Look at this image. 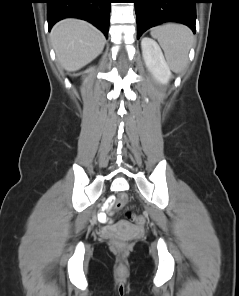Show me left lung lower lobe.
<instances>
[{"label": "left lung lower lobe", "instance_id": "1", "mask_svg": "<svg viewBox=\"0 0 239 296\" xmlns=\"http://www.w3.org/2000/svg\"><path fill=\"white\" fill-rule=\"evenodd\" d=\"M137 20V38L147 29L164 22H180L195 33L198 0H133Z\"/></svg>", "mask_w": 239, "mask_h": 296}]
</instances>
